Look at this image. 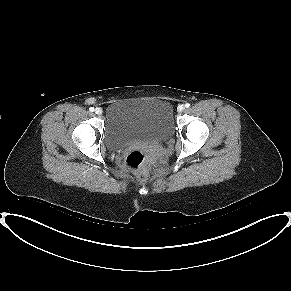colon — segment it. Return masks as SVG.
Returning <instances> with one entry per match:
<instances>
[{
  "instance_id": "obj_1",
  "label": "colon",
  "mask_w": 291,
  "mask_h": 291,
  "mask_svg": "<svg viewBox=\"0 0 291 291\" xmlns=\"http://www.w3.org/2000/svg\"><path fill=\"white\" fill-rule=\"evenodd\" d=\"M148 158V153L145 149L138 148L132 150L126 157L125 165L127 169L134 173L141 181L147 179V173L145 171V164Z\"/></svg>"
}]
</instances>
